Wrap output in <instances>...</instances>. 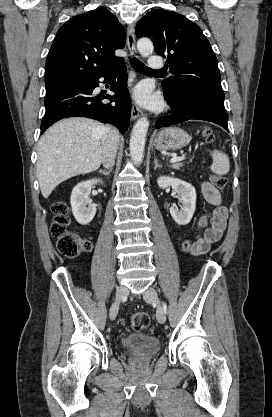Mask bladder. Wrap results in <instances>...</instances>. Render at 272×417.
<instances>
[{
    "label": "bladder",
    "mask_w": 272,
    "mask_h": 417,
    "mask_svg": "<svg viewBox=\"0 0 272 417\" xmlns=\"http://www.w3.org/2000/svg\"><path fill=\"white\" fill-rule=\"evenodd\" d=\"M120 346L130 356L139 359H149L158 353L161 343L154 336L131 333L122 338Z\"/></svg>",
    "instance_id": "31cf9c89"
}]
</instances>
